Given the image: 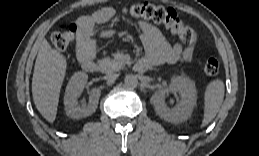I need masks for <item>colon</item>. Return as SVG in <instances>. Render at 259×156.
Segmentation results:
<instances>
[{
    "mask_svg": "<svg viewBox=\"0 0 259 156\" xmlns=\"http://www.w3.org/2000/svg\"><path fill=\"white\" fill-rule=\"evenodd\" d=\"M125 12L133 17L145 18L165 25L172 33L178 35L181 40L192 44L197 40L196 32L183 24L176 11L172 8L155 6L150 3H137L125 9ZM78 31V24L65 26L51 35V42L58 50H65L73 41ZM204 71L207 75H216L219 71V63L210 58L205 62Z\"/></svg>",
    "mask_w": 259,
    "mask_h": 156,
    "instance_id": "1",
    "label": "colon"
}]
</instances>
